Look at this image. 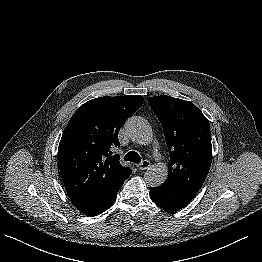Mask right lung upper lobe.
Segmentation results:
<instances>
[{
    "label": "right lung upper lobe",
    "instance_id": "obj_1",
    "mask_svg": "<svg viewBox=\"0 0 262 262\" xmlns=\"http://www.w3.org/2000/svg\"><path fill=\"white\" fill-rule=\"evenodd\" d=\"M143 96L92 99L78 108L59 143V167L71 201L102 202L117 193L131 174L111 148L118 131L142 105Z\"/></svg>",
    "mask_w": 262,
    "mask_h": 262
}]
</instances>
